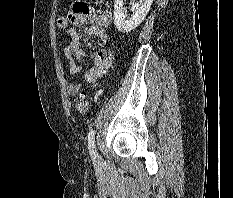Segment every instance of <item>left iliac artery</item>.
<instances>
[{
    "label": "left iliac artery",
    "instance_id": "1",
    "mask_svg": "<svg viewBox=\"0 0 233 198\" xmlns=\"http://www.w3.org/2000/svg\"><path fill=\"white\" fill-rule=\"evenodd\" d=\"M94 139H95V131L94 129H90L88 134V148L90 151V155L93 157V159H95L97 156Z\"/></svg>",
    "mask_w": 233,
    "mask_h": 198
}]
</instances>
